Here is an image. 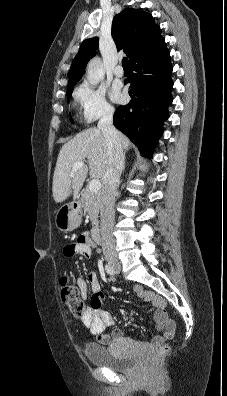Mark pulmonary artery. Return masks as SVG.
Returning a JSON list of instances; mask_svg holds the SVG:
<instances>
[{"instance_id": "obj_1", "label": "pulmonary artery", "mask_w": 227, "mask_h": 396, "mask_svg": "<svg viewBox=\"0 0 227 396\" xmlns=\"http://www.w3.org/2000/svg\"><path fill=\"white\" fill-rule=\"evenodd\" d=\"M113 73L116 77H122L124 75V70L120 65H118L115 67Z\"/></svg>"}]
</instances>
